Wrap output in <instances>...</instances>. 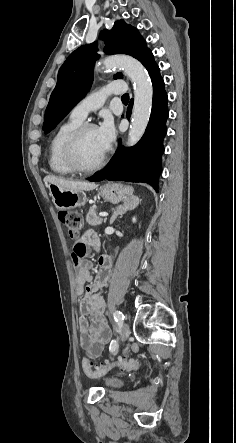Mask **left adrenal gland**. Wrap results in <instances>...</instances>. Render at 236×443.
Returning a JSON list of instances; mask_svg holds the SVG:
<instances>
[{"instance_id":"obj_1","label":"left adrenal gland","mask_w":236,"mask_h":443,"mask_svg":"<svg viewBox=\"0 0 236 443\" xmlns=\"http://www.w3.org/2000/svg\"><path fill=\"white\" fill-rule=\"evenodd\" d=\"M129 206L127 205V203H124L123 205L119 206L116 210H114L113 215L110 219V225H112L114 223V221L116 220L117 216H122L123 214H125L128 210H129Z\"/></svg>"}]
</instances>
